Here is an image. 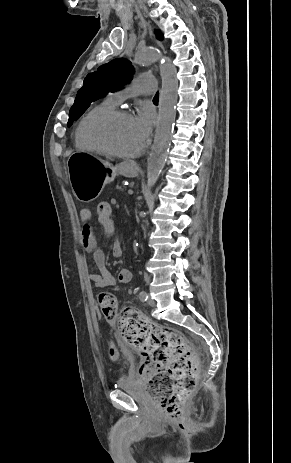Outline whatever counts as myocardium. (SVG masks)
I'll list each match as a JSON object with an SVG mask.
<instances>
[{
    "instance_id": "obj_1",
    "label": "myocardium",
    "mask_w": 291,
    "mask_h": 463,
    "mask_svg": "<svg viewBox=\"0 0 291 463\" xmlns=\"http://www.w3.org/2000/svg\"><path fill=\"white\" fill-rule=\"evenodd\" d=\"M121 117H130V113L124 109H113L106 113L94 116L87 122L84 128V138L92 148L99 152L123 159L135 158L144 150V144L134 152H121L108 144L104 139L98 137L95 133L99 127L105 126Z\"/></svg>"
}]
</instances>
